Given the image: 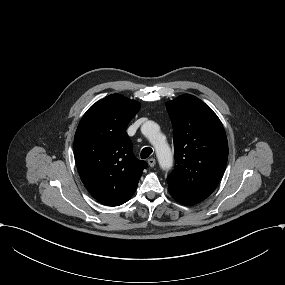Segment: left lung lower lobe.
<instances>
[{
  "label": "left lung lower lobe",
  "mask_w": 285,
  "mask_h": 285,
  "mask_svg": "<svg viewBox=\"0 0 285 285\" xmlns=\"http://www.w3.org/2000/svg\"><path fill=\"white\" fill-rule=\"evenodd\" d=\"M176 201H178L179 203H181V204H185V205H194V204H192V203H189V202H186V201H180V200H177V199H175Z\"/></svg>",
  "instance_id": "1"
}]
</instances>
